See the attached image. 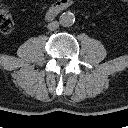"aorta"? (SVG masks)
Instances as JSON below:
<instances>
[{
    "label": "aorta",
    "mask_w": 128,
    "mask_h": 128,
    "mask_svg": "<svg viewBox=\"0 0 128 128\" xmlns=\"http://www.w3.org/2000/svg\"><path fill=\"white\" fill-rule=\"evenodd\" d=\"M59 22L63 27H70L75 22V16L70 11L64 12L60 15Z\"/></svg>",
    "instance_id": "aorta-1"
}]
</instances>
